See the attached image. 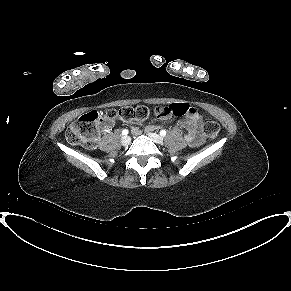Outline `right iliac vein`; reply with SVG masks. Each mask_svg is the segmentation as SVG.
<instances>
[{"label":"right iliac vein","instance_id":"63e3f726","mask_svg":"<svg viewBox=\"0 0 291 291\" xmlns=\"http://www.w3.org/2000/svg\"><path fill=\"white\" fill-rule=\"evenodd\" d=\"M130 137L129 136H123L122 139H121V144L123 146H128L130 144Z\"/></svg>","mask_w":291,"mask_h":291}]
</instances>
